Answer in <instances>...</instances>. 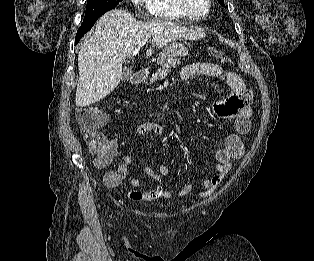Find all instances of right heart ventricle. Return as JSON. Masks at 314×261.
Segmentation results:
<instances>
[{"label":"right heart ventricle","mask_w":314,"mask_h":261,"mask_svg":"<svg viewBox=\"0 0 314 261\" xmlns=\"http://www.w3.org/2000/svg\"><path fill=\"white\" fill-rule=\"evenodd\" d=\"M146 9L153 17L181 21H192L194 19L181 9L177 0H148Z\"/></svg>","instance_id":"right-heart-ventricle-1"}]
</instances>
